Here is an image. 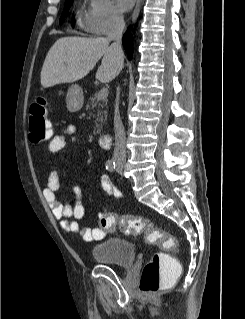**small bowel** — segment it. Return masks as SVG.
<instances>
[{
	"instance_id": "c3829d8e",
	"label": "small bowel",
	"mask_w": 245,
	"mask_h": 319,
	"mask_svg": "<svg viewBox=\"0 0 245 319\" xmlns=\"http://www.w3.org/2000/svg\"><path fill=\"white\" fill-rule=\"evenodd\" d=\"M76 127L68 125L54 136L48 145L50 153L59 152L70 139L75 141ZM102 189L113 198H119L121 193L114 187L111 179L106 174L100 176ZM68 189L73 195V202L69 199L59 201L57 193L60 189V176L56 169L50 171L47 178V185L43 190V196L53 216L60 221L63 230L69 233H80L87 242H96L105 238L106 232L101 227H89L80 230L77 220L84 216L85 208L82 202V190L78 185L69 184Z\"/></svg>"
}]
</instances>
